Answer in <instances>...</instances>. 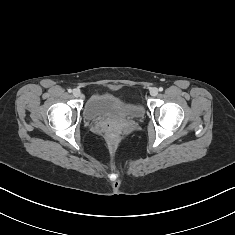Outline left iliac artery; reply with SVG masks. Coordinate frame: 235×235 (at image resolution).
I'll return each instance as SVG.
<instances>
[{"instance_id": "obj_1", "label": "left iliac artery", "mask_w": 235, "mask_h": 235, "mask_svg": "<svg viewBox=\"0 0 235 235\" xmlns=\"http://www.w3.org/2000/svg\"><path fill=\"white\" fill-rule=\"evenodd\" d=\"M159 91H160V92H162V91H163V88H162V87H160V88H159Z\"/></svg>"}]
</instances>
